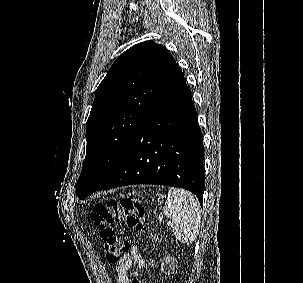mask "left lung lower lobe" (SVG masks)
<instances>
[{"label":"left lung lower lobe","mask_w":303,"mask_h":283,"mask_svg":"<svg viewBox=\"0 0 303 283\" xmlns=\"http://www.w3.org/2000/svg\"><path fill=\"white\" fill-rule=\"evenodd\" d=\"M203 157L191 92L174 62L110 178L78 197L125 185L157 184L189 190L202 205Z\"/></svg>","instance_id":"left-lung-lower-lobe-1"}]
</instances>
